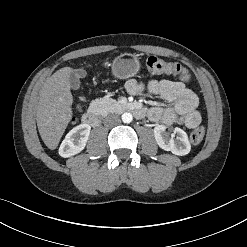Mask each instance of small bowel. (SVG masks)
Wrapping results in <instances>:
<instances>
[{"mask_svg":"<svg viewBox=\"0 0 247 247\" xmlns=\"http://www.w3.org/2000/svg\"><path fill=\"white\" fill-rule=\"evenodd\" d=\"M126 89L132 95L145 93L159 95L171 104L165 108L159 106L150 108L147 114L153 122L166 125L178 123L188 128H194L201 122V116L196 110L197 96L181 82L167 79L148 82L130 80Z\"/></svg>","mask_w":247,"mask_h":247,"instance_id":"obj_1","label":"small bowel"}]
</instances>
